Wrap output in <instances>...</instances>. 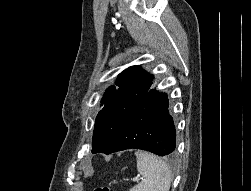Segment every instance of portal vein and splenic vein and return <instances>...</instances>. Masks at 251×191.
<instances>
[{
	"mask_svg": "<svg viewBox=\"0 0 251 191\" xmlns=\"http://www.w3.org/2000/svg\"><path fill=\"white\" fill-rule=\"evenodd\" d=\"M139 181H140L139 177H133L132 180H131V183L135 184L136 182H139Z\"/></svg>",
	"mask_w": 251,
	"mask_h": 191,
	"instance_id": "obj_1",
	"label": "portal vein and splenic vein"
}]
</instances>
